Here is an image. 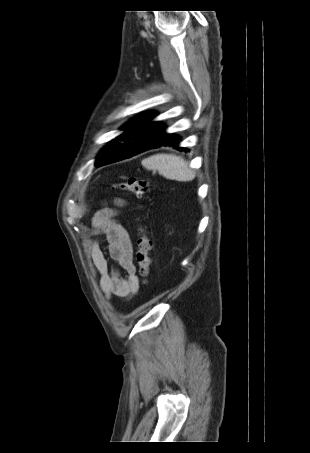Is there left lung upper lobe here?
Returning <instances> with one entry per match:
<instances>
[{
  "mask_svg": "<svg viewBox=\"0 0 310 453\" xmlns=\"http://www.w3.org/2000/svg\"><path fill=\"white\" fill-rule=\"evenodd\" d=\"M155 112L145 113L122 127L128 128L118 136V141H111L100 153L95 166H102L138 154L146 146L163 139L165 127L160 122H149Z\"/></svg>",
  "mask_w": 310,
  "mask_h": 453,
  "instance_id": "5c2ea615",
  "label": "left lung upper lobe"
}]
</instances>
